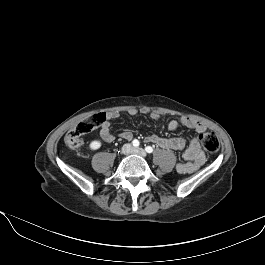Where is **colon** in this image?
I'll return each mask as SVG.
<instances>
[{"mask_svg":"<svg viewBox=\"0 0 265 265\" xmlns=\"http://www.w3.org/2000/svg\"><path fill=\"white\" fill-rule=\"evenodd\" d=\"M105 119V114L96 113L85 121L79 123L65 136V143L70 148H78L83 143V136L91 132ZM201 145L209 152H216L219 149V139L216 133L205 131L199 135Z\"/></svg>","mask_w":265,"mask_h":265,"instance_id":"obj_1","label":"colon"}]
</instances>
